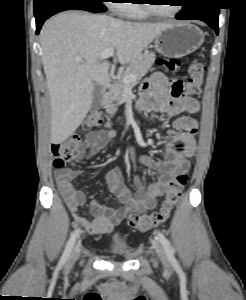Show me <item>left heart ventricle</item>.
I'll use <instances>...</instances> for the list:
<instances>
[{"label":"left heart ventricle","instance_id":"left-heart-ventricle-1","mask_svg":"<svg viewBox=\"0 0 246 300\" xmlns=\"http://www.w3.org/2000/svg\"><path fill=\"white\" fill-rule=\"evenodd\" d=\"M157 2H159L160 4H153L154 7L161 13H171L176 9V5H175V1H169V0H158ZM164 3H167L169 5H163Z\"/></svg>","mask_w":246,"mask_h":300}]
</instances>
